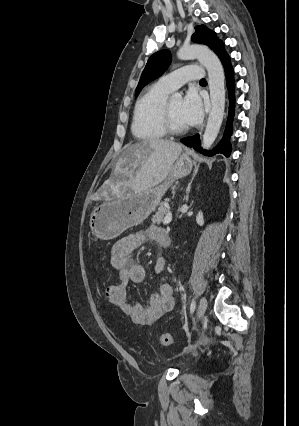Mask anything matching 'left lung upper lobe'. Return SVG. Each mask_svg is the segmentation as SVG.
<instances>
[{
	"instance_id": "1",
	"label": "left lung upper lobe",
	"mask_w": 299,
	"mask_h": 426,
	"mask_svg": "<svg viewBox=\"0 0 299 426\" xmlns=\"http://www.w3.org/2000/svg\"><path fill=\"white\" fill-rule=\"evenodd\" d=\"M192 40L196 43H201L209 46L216 54L224 49V44L218 40L215 33L209 30L206 26L200 25L195 27V33L192 35ZM171 63V55L168 50H161L154 53L148 60L138 86L135 96L139 94L141 89L150 81L162 75Z\"/></svg>"
}]
</instances>
